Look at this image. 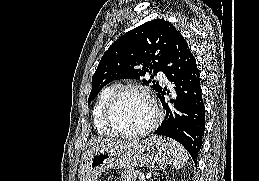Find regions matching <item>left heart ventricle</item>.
I'll use <instances>...</instances> for the list:
<instances>
[{
  "mask_svg": "<svg viewBox=\"0 0 259 181\" xmlns=\"http://www.w3.org/2000/svg\"><path fill=\"white\" fill-rule=\"evenodd\" d=\"M153 116L149 100L140 92L130 91L119 99L114 112V122L121 130L133 132L146 127Z\"/></svg>",
  "mask_w": 259,
  "mask_h": 181,
  "instance_id": "left-heart-ventricle-1",
  "label": "left heart ventricle"
}]
</instances>
